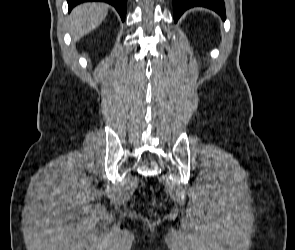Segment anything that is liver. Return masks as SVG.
I'll return each mask as SVG.
<instances>
[{
    "label": "liver",
    "instance_id": "1",
    "mask_svg": "<svg viewBox=\"0 0 295 250\" xmlns=\"http://www.w3.org/2000/svg\"><path fill=\"white\" fill-rule=\"evenodd\" d=\"M108 6L104 3H83L70 14V33L76 42L95 30L105 19Z\"/></svg>",
    "mask_w": 295,
    "mask_h": 250
}]
</instances>
